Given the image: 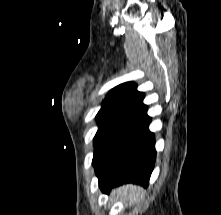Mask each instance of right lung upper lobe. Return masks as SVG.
I'll return each instance as SVG.
<instances>
[{"mask_svg":"<svg viewBox=\"0 0 221 215\" xmlns=\"http://www.w3.org/2000/svg\"><path fill=\"white\" fill-rule=\"evenodd\" d=\"M143 99L144 93L137 91V85L126 82L113 88L106 96L103 105H120L140 111L147 107L143 104Z\"/></svg>","mask_w":221,"mask_h":215,"instance_id":"1","label":"right lung upper lobe"}]
</instances>
